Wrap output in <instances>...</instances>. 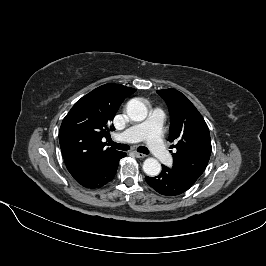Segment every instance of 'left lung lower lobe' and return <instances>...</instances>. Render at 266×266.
<instances>
[{"mask_svg": "<svg viewBox=\"0 0 266 266\" xmlns=\"http://www.w3.org/2000/svg\"><path fill=\"white\" fill-rule=\"evenodd\" d=\"M145 180L155 191L165 196H177L190 188L171 176L164 166L158 176L145 177Z\"/></svg>", "mask_w": 266, "mask_h": 266, "instance_id": "0a47b994", "label": "left lung lower lobe"}]
</instances>
